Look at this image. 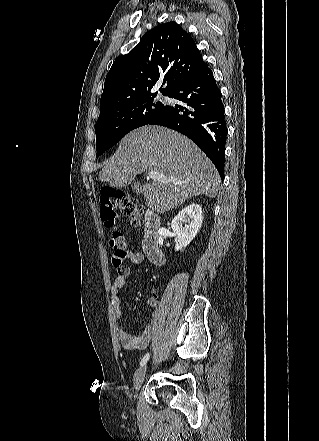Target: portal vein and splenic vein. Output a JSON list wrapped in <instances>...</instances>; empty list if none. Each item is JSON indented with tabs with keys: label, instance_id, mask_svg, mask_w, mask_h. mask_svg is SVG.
Listing matches in <instances>:
<instances>
[{
	"label": "portal vein and splenic vein",
	"instance_id": "portal-vein-and-splenic-vein-1",
	"mask_svg": "<svg viewBox=\"0 0 319 441\" xmlns=\"http://www.w3.org/2000/svg\"><path fill=\"white\" fill-rule=\"evenodd\" d=\"M148 178L152 180H160L161 182H165V183L167 182L181 183V181L175 178L167 179L166 177L161 176L158 171H150L148 173Z\"/></svg>",
	"mask_w": 319,
	"mask_h": 441
}]
</instances>
